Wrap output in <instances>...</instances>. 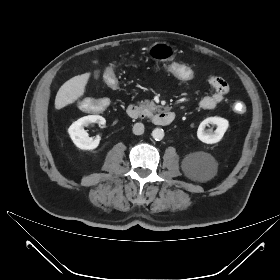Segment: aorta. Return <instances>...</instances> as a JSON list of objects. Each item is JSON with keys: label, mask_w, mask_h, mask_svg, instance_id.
Instances as JSON below:
<instances>
[{"label": "aorta", "mask_w": 280, "mask_h": 280, "mask_svg": "<svg viewBox=\"0 0 280 280\" xmlns=\"http://www.w3.org/2000/svg\"><path fill=\"white\" fill-rule=\"evenodd\" d=\"M152 137L153 139H155L156 141H160L163 139L164 137V131L163 129L161 128H155L153 131H152Z\"/></svg>", "instance_id": "obj_1"}]
</instances>
